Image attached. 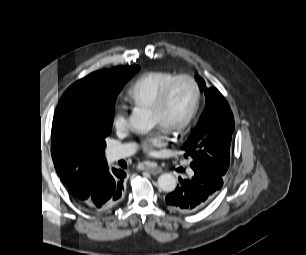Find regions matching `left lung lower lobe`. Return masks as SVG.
<instances>
[{"instance_id":"0a47b994","label":"left lung lower lobe","mask_w":306,"mask_h":255,"mask_svg":"<svg viewBox=\"0 0 306 255\" xmlns=\"http://www.w3.org/2000/svg\"><path fill=\"white\" fill-rule=\"evenodd\" d=\"M191 168V177L179 178L177 188L166 196L167 204L182 213H191L207 205L223 185V176L217 172L205 166Z\"/></svg>"}]
</instances>
